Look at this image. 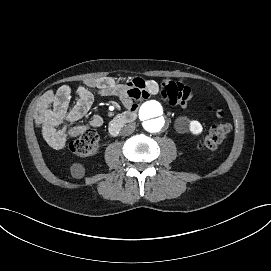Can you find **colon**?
I'll list each match as a JSON object with an SVG mask.
<instances>
[{
  "label": "colon",
  "mask_w": 271,
  "mask_h": 271,
  "mask_svg": "<svg viewBox=\"0 0 271 271\" xmlns=\"http://www.w3.org/2000/svg\"><path fill=\"white\" fill-rule=\"evenodd\" d=\"M210 112L215 117L223 115L221 107H211ZM230 131L231 125L229 123L219 122L210 129L208 134L200 142V146L206 149H215L226 140ZM98 148V134L93 129L86 131L70 144L72 153L81 157L94 155L98 151Z\"/></svg>",
  "instance_id": "1"
}]
</instances>
